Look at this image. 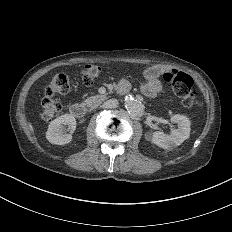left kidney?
I'll list each match as a JSON object with an SVG mask.
<instances>
[{
	"label": "left kidney",
	"instance_id": "obj_1",
	"mask_svg": "<svg viewBox=\"0 0 232 232\" xmlns=\"http://www.w3.org/2000/svg\"><path fill=\"white\" fill-rule=\"evenodd\" d=\"M173 123L178 124V128L165 135L162 131H154L152 142L162 149L180 146L190 136V120L180 114L171 117Z\"/></svg>",
	"mask_w": 232,
	"mask_h": 232
}]
</instances>
